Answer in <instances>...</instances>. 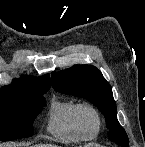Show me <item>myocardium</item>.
Segmentation results:
<instances>
[{
	"label": "myocardium",
	"mask_w": 145,
	"mask_h": 147,
	"mask_svg": "<svg viewBox=\"0 0 145 147\" xmlns=\"http://www.w3.org/2000/svg\"><path fill=\"white\" fill-rule=\"evenodd\" d=\"M78 118L84 129L92 130L98 134L102 126V117L94 105L82 103L79 108Z\"/></svg>",
	"instance_id": "f54148a6"
}]
</instances>
